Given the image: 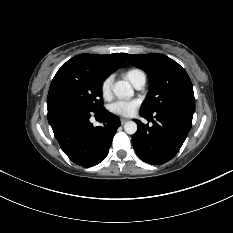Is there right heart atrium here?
Segmentation results:
<instances>
[{"instance_id": "d8ad5b80", "label": "right heart atrium", "mask_w": 233, "mask_h": 233, "mask_svg": "<svg viewBox=\"0 0 233 233\" xmlns=\"http://www.w3.org/2000/svg\"><path fill=\"white\" fill-rule=\"evenodd\" d=\"M112 77H106L100 86L101 94L104 98H109L111 95Z\"/></svg>"}]
</instances>
